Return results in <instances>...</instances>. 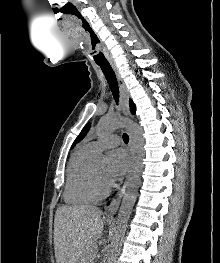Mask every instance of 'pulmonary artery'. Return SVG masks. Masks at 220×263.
<instances>
[{
  "instance_id": "obj_1",
  "label": "pulmonary artery",
  "mask_w": 220,
  "mask_h": 263,
  "mask_svg": "<svg viewBox=\"0 0 220 263\" xmlns=\"http://www.w3.org/2000/svg\"><path fill=\"white\" fill-rule=\"evenodd\" d=\"M121 139L117 135H109L100 140L89 142L86 146L93 152L100 151L105 148L117 146Z\"/></svg>"
}]
</instances>
